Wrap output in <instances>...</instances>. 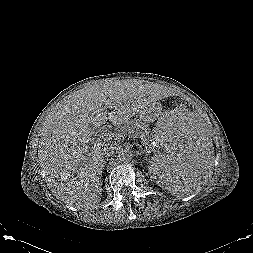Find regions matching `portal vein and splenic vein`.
Instances as JSON below:
<instances>
[{
	"label": "portal vein and splenic vein",
	"instance_id": "18ae733b",
	"mask_svg": "<svg viewBox=\"0 0 253 253\" xmlns=\"http://www.w3.org/2000/svg\"><path fill=\"white\" fill-rule=\"evenodd\" d=\"M107 136L109 137V138H115V137H119V134H117V133H115V132H108L107 133ZM141 138V137H140ZM141 140H142V138H141ZM150 144L147 142L146 144H145V148L147 149V147L149 146Z\"/></svg>",
	"mask_w": 253,
	"mask_h": 253
}]
</instances>
